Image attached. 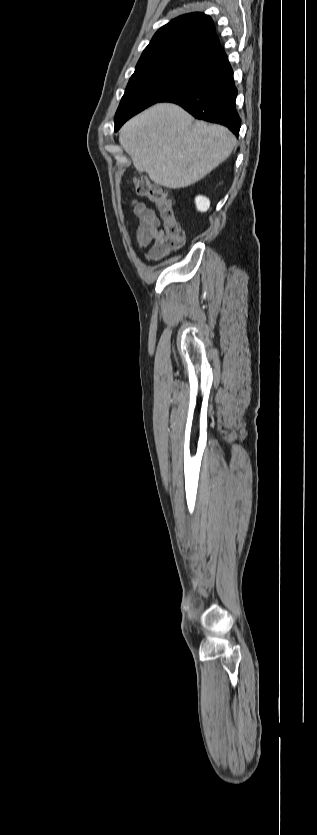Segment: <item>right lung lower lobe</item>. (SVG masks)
Instances as JSON below:
<instances>
[{
	"label": "right lung lower lobe",
	"mask_w": 317,
	"mask_h": 835,
	"mask_svg": "<svg viewBox=\"0 0 317 835\" xmlns=\"http://www.w3.org/2000/svg\"><path fill=\"white\" fill-rule=\"evenodd\" d=\"M206 80L178 91L162 102L180 105L195 118L226 126L238 135L241 119L235 109L237 89L223 49L190 58Z\"/></svg>",
	"instance_id": "1"
}]
</instances>
